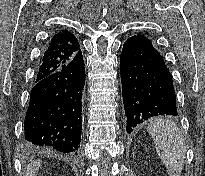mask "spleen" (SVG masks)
Masks as SVG:
<instances>
[{
  "mask_svg": "<svg viewBox=\"0 0 205 176\" xmlns=\"http://www.w3.org/2000/svg\"><path fill=\"white\" fill-rule=\"evenodd\" d=\"M156 151L169 176H180L186 153V145L178 126L171 120L158 118L147 127Z\"/></svg>",
  "mask_w": 205,
  "mask_h": 176,
  "instance_id": "obj_1",
  "label": "spleen"
}]
</instances>
